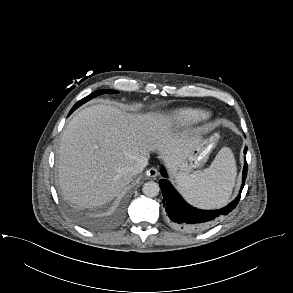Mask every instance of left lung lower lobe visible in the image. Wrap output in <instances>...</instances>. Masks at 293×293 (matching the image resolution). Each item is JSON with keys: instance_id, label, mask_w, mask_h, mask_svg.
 <instances>
[{"instance_id": "0a47b994", "label": "left lung lower lobe", "mask_w": 293, "mask_h": 293, "mask_svg": "<svg viewBox=\"0 0 293 293\" xmlns=\"http://www.w3.org/2000/svg\"><path fill=\"white\" fill-rule=\"evenodd\" d=\"M246 152L247 147L244 149L245 154ZM161 174L163 177H167L164 168H162ZM246 176L247 162L245 158L241 191L244 187ZM159 184L164 197L163 204L165 206L169 224L184 232H198L211 227L216 224L222 216L230 213L236 207L240 199V195H238L234 201L219 210H201L186 203L166 178L161 179Z\"/></svg>"}]
</instances>
